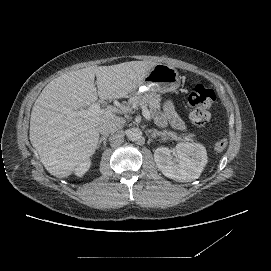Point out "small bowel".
<instances>
[{
  "mask_svg": "<svg viewBox=\"0 0 271 271\" xmlns=\"http://www.w3.org/2000/svg\"><path fill=\"white\" fill-rule=\"evenodd\" d=\"M166 112L169 116V118L171 119L172 123L178 127L181 128L182 127V123L180 122V120L178 119V117L176 116L174 109L172 107V105L170 103H168L165 107Z\"/></svg>",
  "mask_w": 271,
  "mask_h": 271,
  "instance_id": "1",
  "label": "small bowel"
}]
</instances>
